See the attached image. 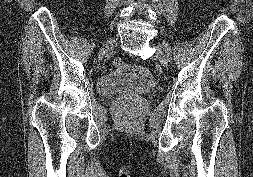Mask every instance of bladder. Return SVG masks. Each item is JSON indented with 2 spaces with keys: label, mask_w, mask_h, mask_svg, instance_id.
I'll use <instances>...</instances> for the list:
<instances>
[{
  "label": "bladder",
  "mask_w": 253,
  "mask_h": 177,
  "mask_svg": "<svg viewBox=\"0 0 253 177\" xmlns=\"http://www.w3.org/2000/svg\"><path fill=\"white\" fill-rule=\"evenodd\" d=\"M156 82L149 70L141 65L124 64L103 74L97 83L102 95L141 94L151 91Z\"/></svg>",
  "instance_id": "1"
}]
</instances>
